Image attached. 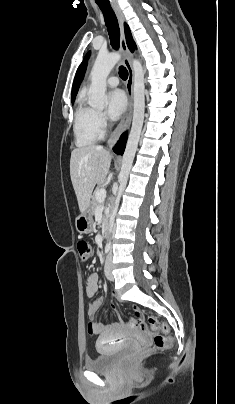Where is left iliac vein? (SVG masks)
<instances>
[{
  "label": "left iliac vein",
  "mask_w": 235,
  "mask_h": 404,
  "mask_svg": "<svg viewBox=\"0 0 235 404\" xmlns=\"http://www.w3.org/2000/svg\"><path fill=\"white\" fill-rule=\"evenodd\" d=\"M105 275L108 280L113 281L114 276L112 273V253L110 252L105 261Z\"/></svg>",
  "instance_id": "obj_1"
}]
</instances>
